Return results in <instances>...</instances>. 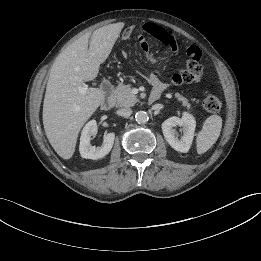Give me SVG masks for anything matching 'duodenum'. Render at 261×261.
<instances>
[{
	"label": "duodenum",
	"instance_id": "1",
	"mask_svg": "<svg viewBox=\"0 0 261 261\" xmlns=\"http://www.w3.org/2000/svg\"><path fill=\"white\" fill-rule=\"evenodd\" d=\"M113 90V84L109 80H104L102 83V92L104 94V99L101 104L103 110H110L114 106ZM159 97L160 93L153 91L148 100L150 103H153L158 100Z\"/></svg>",
	"mask_w": 261,
	"mask_h": 261
}]
</instances>
